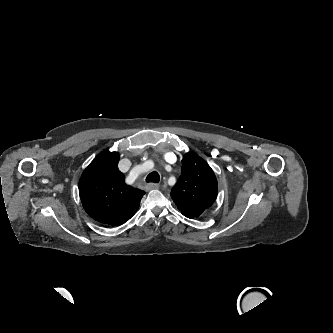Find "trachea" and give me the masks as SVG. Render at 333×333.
I'll list each match as a JSON object with an SVG mask.
<instances>
[{"label":"trachea","mask_w":333,"mask_h":333,"mask_svg":"<svg viewBox=\"0 0 333 333\" xmlns=\"http://www.w3.org/2000/svg\"><path fill=\"white\" fill-rule=\"evenodd\" d=\"M160 180V176L157 172H151L147 177H146V182L148 183H158Z\"/></svg>","instance_id":"obj_1"}]
</instances>
